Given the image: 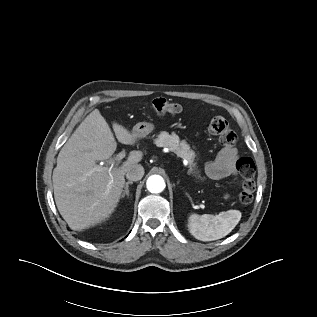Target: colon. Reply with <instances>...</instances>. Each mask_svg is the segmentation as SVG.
<instances>
[{
  "label": "colon",
  "mask_w": 317,
  "mask_h": 317,
  "mask_svg": "<svg viewBox=\"0 0 317 317\" xmlns=\"http://www.w3.org/2000/svg\"><path fill=\"white\" fill-rule=\"evenodd\" d=\"M152 110L156 114H178L182 111L180 104L167 100L165 98H156L151 104ZM209 131L216 135L222 146L230 148L237 142V135L229 127L227 120L222 116H214L211 118ZM236 169L242 177V189L239 193V201L242 204H249L253 200L256 189L255 174L256 167L254 161L249 157H241L236 161Z\"/></svg>",
  "instance_id": "obj_1"
}]
</instances>
